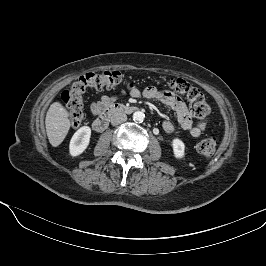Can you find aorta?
<instances>
[{
  "label": "aorta",
  "instance_id": "obj_1",
  "mask_svg": "<svg viewBox=\"0 0 266 266\" xmlns=\"http://www.w3.org/2000/svg\"><path fill=\"white\" fill-rule=\"evenodd\" d=\"M145 114L142 111H136L133 114V120L136 122H143Z\"/></svg>",
  "mask_w": 266,
  "mask_h": 266
}]
</instances>
